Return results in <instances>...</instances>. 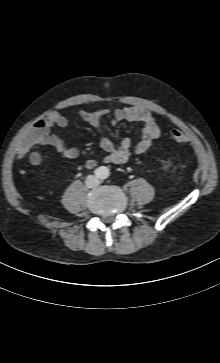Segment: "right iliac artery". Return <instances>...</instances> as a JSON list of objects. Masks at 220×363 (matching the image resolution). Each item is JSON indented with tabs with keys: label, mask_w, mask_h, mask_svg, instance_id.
<instances>
[{
	"label": "right iliac artery",
	"mask_w": 220,
	"mask_h": 363,
	"mask_svg": "<svg viewBox=\"0 0 220 363\" xmlns=\"http://www.w3.org/2000/svg\"><path fill=\"white\" fill-rule=\"evenodd\" d=\"M96 176H100V173L98 170L95 171Z\"/></svg>",
	"instance_id": "right-iliac-artery-1"
}]
</instances>
